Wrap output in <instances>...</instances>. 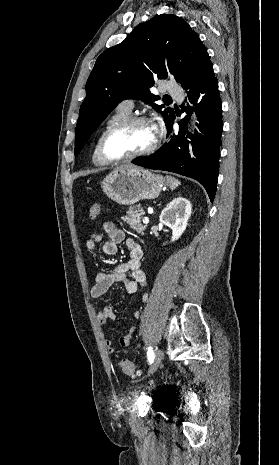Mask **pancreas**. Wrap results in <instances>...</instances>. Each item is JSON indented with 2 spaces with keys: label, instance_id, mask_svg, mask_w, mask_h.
<instances>
[{
  "label": "pancreas",
  "instance_id": "obj_1",
  "mask_svg": "<svg viewBox=\"0 0 279 465\" xmlns=\"http://www.w3.org/2000/svg\"><path fill=\"white\" fill-rule=\"evenodd\" d=\"M143 214L144 213L141 210L128 212L126 216L122 217V220L127 222V224L138 234H143L147 227V225H143L141 222V216Z\"/></svg>",
  "mask_w": 279,
  "mask_h": 465
}]
</instances>
